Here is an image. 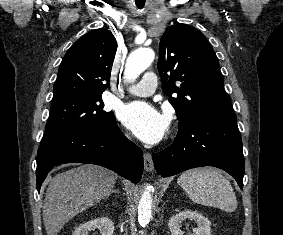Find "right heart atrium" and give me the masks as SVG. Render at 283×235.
Wrapping results in <instances>:
<instances>
[{
    "mask_svg": "<svg viewBox=\"0 0 283 235\" xmlns=\"http://www.w3.org/2000/svg\"><path fill=\"white\" fill-rule=\"evenodd\" d=\"M125 135H126L127 138H130V135L128 133H125Z\"/></svg>",
    "mask_w": 283,
    "mask_h": 235,
    "instance_id": "1",
    "label": "right heart atrium"
}]
</instances>
